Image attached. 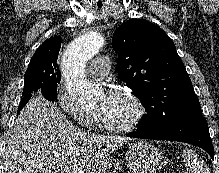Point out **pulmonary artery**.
Masks as SVG:
<instances>
[{"label": "pulmonary artery", "instance_id": "e3ab8cb5", "mask_svg": "<svg viewBox=\"0 0 219 173\" xmlns=\"http://www.w3.org/2000/svg\"><path fill=\"white\" fill-rule=\"evenodd\" d=\"M110 69V59L107 56L101 55L95 57L88 68L90 77L100 79L108 74Z\"/></svg>", "mask_w": 219, "mask_h": 173}]
</instances>
